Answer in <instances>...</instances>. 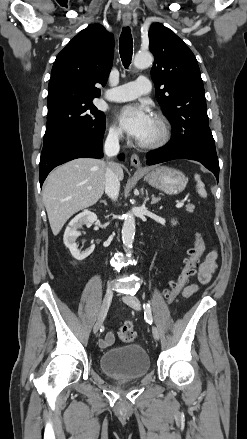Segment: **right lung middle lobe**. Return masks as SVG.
Masks as SVG:
<instances>
[{
    "label": "right lung middle lobe",
    "mask_w": 247,
    "mask_h": 439,
    "mask_svg": "<svg viewBox=\"0 0 247 439\" xmlns=\"http://www.w3.org/2000/svg\"><path fill=\"white\" fill-rule=\"evenodd\" d=\"M105 128V115L92 100H67L48 109L44 143L79 133H93Z\"/></svg>",
    "instance_id": "right-lung-middle-lobe-1"
}]
</instances>
